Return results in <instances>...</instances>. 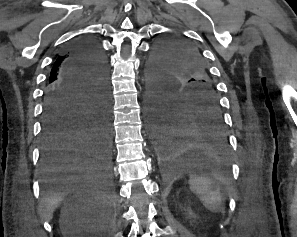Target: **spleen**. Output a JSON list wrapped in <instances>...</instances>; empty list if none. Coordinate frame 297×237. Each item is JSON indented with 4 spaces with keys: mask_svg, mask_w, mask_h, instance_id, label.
<instances>
[{
    "mask_svg": "<svg viewBox=\"0 0 297 237\" xmlns=\"http://www.w3.org/2000/svg\"><path fill=\"white\" fill-rule=\"evenodd\" d=\"M190 190L194 192L211 212H217L222 203L220 180L218 177L193 176L189 179Z\"/></svg>",
    "mask_w": 297,
    "mask_h": 237,
    "instance_id": "spleen-1",
    "label": "spleen"
}]
</instances>
